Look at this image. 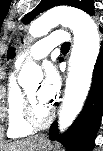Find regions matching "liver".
Masks as SVG:
<instances>
[{
    "label": "liver",
    "instance_id": "liver-1",
    "mask_svg": "<svg viewBox=\"0 0 103 151\" xmlns=\"http://www.w3.org/2000/svg\"><path fill=\"white\" fill-rule=\"evenodd\" d=\"M37 136L23 140H17L1 147V151H35L37 148Z\"/></svg>",
    "mask_w": 103,
    "mask_h": 151
}]
</instances>
